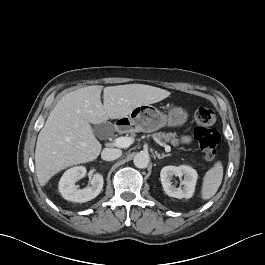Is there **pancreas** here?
Listing matches in <instances>:
<instances>
[{
	"label": "pancreas",
	"instance_id": "obj_1",
	"mask_svg": "<svg viewBox=\"0 0 265 265\" xmlns=\"http://www.w3.org/2000/svg\"><path fill=\"white\" fill-rule=\"evenodd\" d=\"M152 136L157 142L163 144L170 143L174 147L179 145V139H177V135L175 133L158 132L154 133Z\"/></svg>",
	"mask_w": 265,
	"mask_h": 265
}]
</instances>
